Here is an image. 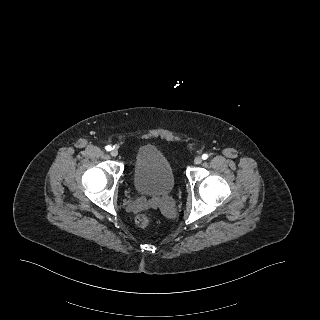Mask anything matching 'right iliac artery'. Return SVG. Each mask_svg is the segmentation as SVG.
<instances>
[{"label": "right iliac artery", "mask_w": 320, "mask_h": 320, "mask_svg": "<svg viewBox=\"0 0 320 320\" xmlns=\"http://www.w3.org/2000/svg\"><path fill=\"white\" fill-rule=\"evenodd\" d=\"M106 150L107 151H111L112 150V147L110 145L106 146Z\"/></svg>", "instance_id": "obj_1"}]
</instances>
